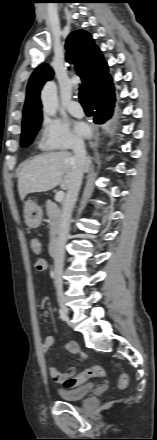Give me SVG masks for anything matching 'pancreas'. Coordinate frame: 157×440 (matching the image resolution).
Here are the masks:
<instances>
[{"mask_svg": "<svg viewBox=\"0 0 157 440\" xmlns=\"http://www.w3.org/2000/svg\"><path fill=\"white\" fill-rule=\"evenodd\" d=\"M46 212L50 220V243H54L59 231L61 212L59 207L52 201L46 202Z\"/></svg>", "mask_w": 157, "mask_h": 440, "instance_id": "pancreas-1", "label": "pancreas"}]
</instances>
